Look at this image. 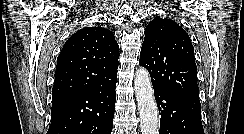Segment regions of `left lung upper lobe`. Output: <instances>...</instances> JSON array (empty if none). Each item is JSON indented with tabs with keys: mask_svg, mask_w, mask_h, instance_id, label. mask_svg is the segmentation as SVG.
Returning <instances> with one entry per match:
<instances>
[{
	"mask_svg": "<svg viewBox=\"0 0 244 134\" xmlns=\"http://www.w3.org/2000/svg\"><path fill=\"white\" fill-rule=\"evenodd\" d=\"M140 65L150 73L154 90L199 95L194 48L176 22L157 17L147 25Z\"/></svg>",
	"mask_w": 244,
	"mask_h": 134,
	"instance_id": "left-lung-upper-lobe-1",
	"label": "left lung upper lobe"
}]
</instances>
